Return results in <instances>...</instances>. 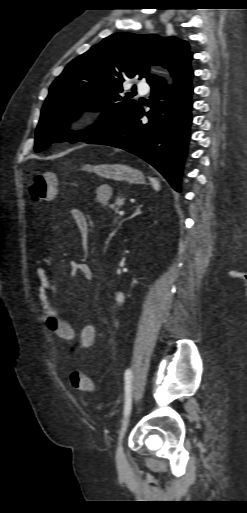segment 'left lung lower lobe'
<instances>
[{
	"instance_id": "0a47b994",
	"label": "left lung lower lobe",
	"mask_w": 247,
	"mask_h": 513,
	"mask_svg": "<svg viewBox=\"0 0 247 513\" xmlns=\"http://www.w3.org/2000/svg\"><path fill=\"white\" fill-rule=\"evenodd\" d=\"M191 58L172 74L175 88L170 89L163 79L151 86L150 111L145 114L138 104L111 129L86 143L113 146L139 156L179 191L192 120ZM144 115L147 123L141 121Z\"/></svg>"
}]
</instances>
